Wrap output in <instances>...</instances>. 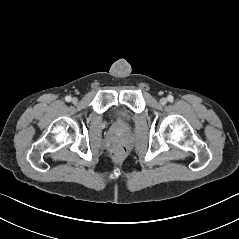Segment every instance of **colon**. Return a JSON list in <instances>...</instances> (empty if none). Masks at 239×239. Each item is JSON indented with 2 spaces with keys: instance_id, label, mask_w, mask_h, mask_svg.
I'll use <instances>...</instances> for the list:
<instances>
[{
  "instance_id": "5ec220e1",
  "label": "colon",
  "mask_w": 239,
  "mask_h": 239,
  "mask_svg": "<svg viewBox=\"0 0 239 239\" xmlns=\"http://www.w3.org/2000/svg\"><path fill=\"white\" fill-rule=\"evenodd\" d=\"M113 156L115 158H118V159H121L123 158L126 153H127V149L126 147L121 144V143H116L114 146H113Z\"/></svg>"
}]
</instances>
